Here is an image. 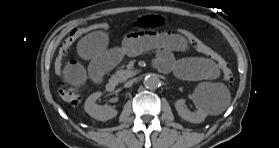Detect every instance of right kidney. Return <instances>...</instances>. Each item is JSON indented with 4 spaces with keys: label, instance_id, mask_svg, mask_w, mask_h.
Masks as SVG:
<instances>
[{
    "label": "right kidney",
    "instance_id": "obj_1",
    "mask_svg": "<svg viewBox=\"0 0 279 148\" xmlns=\"http://www.w3.org/2000/svg\"><path fill=\"white\" fill-rule=\"evenodd\" d=\"M102 96L101 92L91 94L85 101L84 110L92 118L99 121H107L117 115V110L109 106H99L96 100Z\"/></svg>",
    "mask_w": 279,
    "mask_h": 148
}]
</instances>
